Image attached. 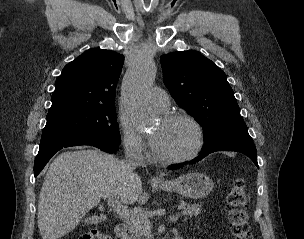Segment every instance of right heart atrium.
<instances>
[{
	"label": "right heart atrium",
	"instance_id": "d8ad5b80",
	"mask_svg": "<svg viewBox=\"0 0 304 239\" xmlns=\"http://www.w3.org/2000/svg\"><path fill=\"white\" fill-rule=\"evenodd\" d=\"M122 140L124 147L130 155L142 156L146 152V146L143 138L135 129L128 116L121 114L119 117Z\"/></svg>",
	"mask_w": 304,
	"mask_h": 239
}]
</instances>
